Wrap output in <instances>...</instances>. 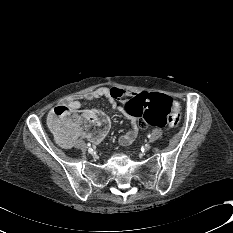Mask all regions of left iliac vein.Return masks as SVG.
I'll return each mask as SVG.
<instances>
[{
	"mask_svg": "<svg viewBox=\"0 0 233 233\" xmlns=\"http://www.w3.org/2000/svg\"><path fill=\"white\" fill-rule=\"evenodd\" d=\"M145 151H149L151 149V145L149 143L144 146Z\"/></svg>",
	"mask_w": 233,
	"mask_h": 233,
	"instance_id": "obj_1",
	"label": "left iliac vein"
}]
</instances>
